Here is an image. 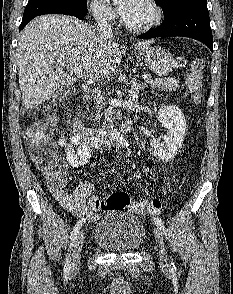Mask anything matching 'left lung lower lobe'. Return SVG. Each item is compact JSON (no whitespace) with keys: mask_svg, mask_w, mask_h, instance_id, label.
I'll list each match as a JSON object with an SVG mask.
<instances>
[{"mask_svg":"<svg viewBox=\"0 0 233 294\" xmlns=\"http://www.w3.org/2000/svg\"><path fill=\"white\" fill-rule=\"evenodd\" d=\"M182 36L204 43L213 52V36L207 4L184 2L164 14V21L155 30L138 36L140 39Z\"/></svg>","mask_w":233,"mask_h":294,"instance_id":"1","label":"left lung lower lobe"}]
</instances>
